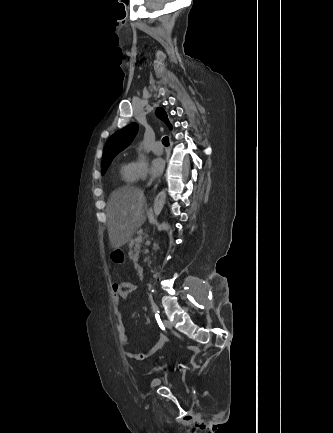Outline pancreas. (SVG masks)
I'll list each match as a JSON object with an SVG mask.
<instances>
[{
    "mask_svg": "<svg viewBox=\"0 0 333 433\" xmlns=\"http://www.w3.org/2000/svg\"><path fill=\"white\" fill-rule=\"evenodd\" d=\"M141 242H137L136 240H131L129 243V258L133 260L136 265L139 259V254L141 252Z\"/></svg>",
    "mask_w": 333,
    "mask_h": 433,
    "instance_id": "pancreas-1",
    "label": "pancreas"
}]
</instances>
